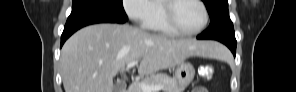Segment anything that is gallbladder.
Instances as JSON below:
<instances>
[{
  "instance_id": "obj_1",
  "label": "gallbladder",
  "mask_w": 296,
  "mask_h": 92,
  "mask_svg": "<svg viewBox=\"0 0 296 92\" xmlns=\"http://www.w3.org/2000/svg\"><path fill=\"white\" fill-rule=\"evenodd\" d=\"M125 89V84L123 83H116L114 85V92H123Z\"/></svg>"
}]
</instances>
